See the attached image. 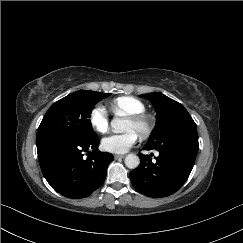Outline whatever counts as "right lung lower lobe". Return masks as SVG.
Here are the masks:
<instances>
[{"label":"right lung lower lobe","mask_w":243,"mask_h":243,"mask_svg":"<svg viewBox=\"0 0 243 243\" xmlns=\"http://www.w3.org/2000/svg\"><path fill=\"white\" fill-rule=\"evenodd\" d=\"M42 173L51 187L68 198H84L104 182L112 154L98 150L99 138L46 137L36 142ZM92 154L85 159L83 153Z\"/></svg>","instance_id":"right-lung-lower-lobe-1"}]
</instances>
